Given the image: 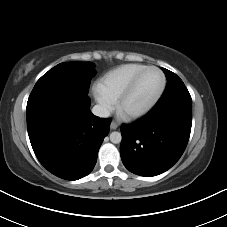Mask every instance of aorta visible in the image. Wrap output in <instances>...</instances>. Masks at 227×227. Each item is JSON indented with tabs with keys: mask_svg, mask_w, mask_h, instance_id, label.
<instances>
[{
	"mask_svg": "<svg viewBox=\"0 0 227 227\" xmlns=\"http://www.w3.org/2000/svg\"><path fill=\"white\" fill-rule=\"evenodd\" d=\"M122 140V136L120 132L114 131L110 134V141L114 144L120 143Z\"/></svg>",
	"mask_w": 227,
	"mask_h": 227,
	"instance_id": "762f6f07",
	"label": "aorta"
}]
</instances>
